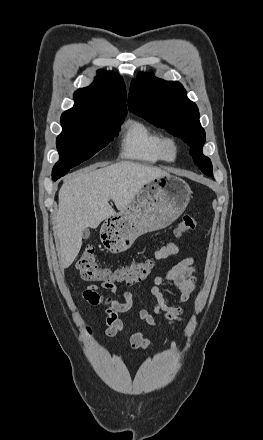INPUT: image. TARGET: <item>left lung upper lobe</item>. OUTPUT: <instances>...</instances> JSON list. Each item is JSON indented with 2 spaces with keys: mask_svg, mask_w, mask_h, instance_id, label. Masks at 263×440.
Listing matches in <instances>:
<instances>
[{
  "mask_svg": "<svg viewBox=\"0 0 263 440\" xmlns=\"http://www.w3.org/2000/svg\"><path fill=\"white\" fill-rule=\"evenodd\" d=\"M128 106L133 113L181 137L190 146L198 168L213 177L211 161L202 153L205 131L199 122L198 108L179 82L139 73L131 82Z\"/></svg>",
  "mask_w": 263,
  "mask_h": 440,
  "instance_id": "obj_1",
  "label": "left lung upper lobe"
}]
</instances>
